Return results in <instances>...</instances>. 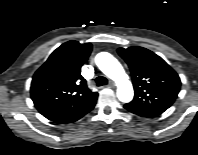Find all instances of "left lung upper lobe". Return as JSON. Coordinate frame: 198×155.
I'll use <instances>...</instances> for the list:
<instances>
[{"label":"left lung upper lobe","mask_w":198,"mask_h":155,"mask_svg":"<svg viewBox=\"0 0 198 155\" xmlns=\"http://www.w3.org/2000/svg\"><path fill=\"white\" fill-rule=\"evenodd\" d=\"M127 62L135 90L127 107L150 113H163L178 96L181 81L177 73L158 55L143 47L119 48Z\"/></svg>","instance_id":"5c2ea615"}]
</instances>
